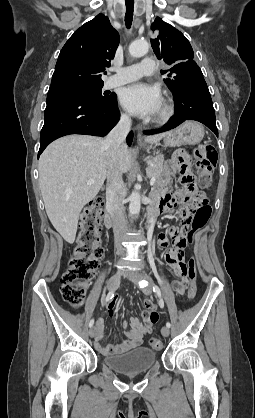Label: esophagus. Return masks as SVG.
Wrapping results in <instances>:
<instances>
[{
    "label": "esophagus",
    "instance_id": "1",
    "mask_svg": "<svg viewBox=\"0 0 255 418\" xmlns=\"http://www.w3.org/2000/svg\"><path fill=\"white\" fill-rule=\"evenodd\" d=\"M137 141H138V142H142V137H141V135H140V134H138V135H137Z\"/></svg>",
    "mask_w": 255,
    "mask_h": 418
}]
</instances>
